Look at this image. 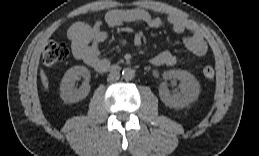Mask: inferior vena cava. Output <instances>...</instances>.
I'll return each instance as SVG.
<instances>
[{
  "mask_svg": "<svg viewBox=\"0 0 259 156\" xmlns=\"http://www.w3.org/2000/svg\"><path fill=\"white\" fill-rule=\"evenodd\" d=\"M120 78V73L118 71H112L107 77L108 82H115Z\"/></svg>",
  "mask_w": 259,
  "mask_h": 156,
  "instance_id": "obj_1",
  "label": "inferior vena cava"
}]
</instances>
